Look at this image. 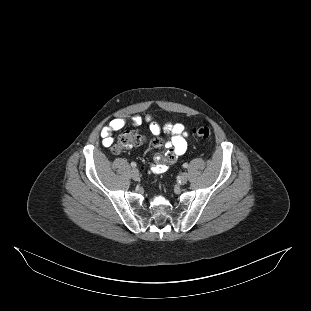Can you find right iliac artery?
Instances as JSON below:
<instances>
[{
  "label": "right iliac artery",
  "instance_id": "right-iliac-artery-1",
  "mask_svg": "<svg viewBox=\"0 0 311 311\" xmlns=\"http://www.w3.org/2000/svg\"><path fill=\"white\" fill-rule=\"evenodd\" d=\"M131 166H132L133 168H135L137 165H136L135 162H131Z\"/></svg>",
  "mask_w": 311,
  "mask_h": 311
}]
</instances>
